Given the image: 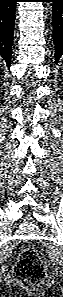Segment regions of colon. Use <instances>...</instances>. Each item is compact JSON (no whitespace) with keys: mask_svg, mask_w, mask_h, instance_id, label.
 Listing matches in <instances>:
<instances>
[{"mask_svg":"<svg viewBox=\"0 0 63 297\" xmlns=\"http://www.w3.org/2000/svg\"><path fill=\"white\" fill-rule=\"evenodd\" d=\"M14 274L25 286L33 287L39 284L46 274L42 255L35 249L25 250L15 264Z\"/></svg>","mask_w":63,"mask_h":297,"instance_id":"5ec220e1","label":"colon"}]
</instances>
